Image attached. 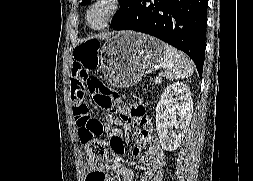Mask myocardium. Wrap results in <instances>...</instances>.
I'll list each match as a JSON object with an SVG mask.
<instances>
[{
  "instance_id": "1",
  "label": "myocardium",
  "mask_w": 253,
  "mask_h": 181,
  "mask_svg": "<svg viewBox=\"0 0 253 181\" xmlns=\"http://www.w3.org/2000/svg\"><path fill=\"white\" fill-rule=\"evenodd\" d=\"M99 6L105 9V15L102 22L95 26L90 23L89 17L91 12ZM122 8L123 4L121 0H91L84 12V23L89 29L94 31L105 29L118 17Z\"/></svg>"
}]
</instances>
